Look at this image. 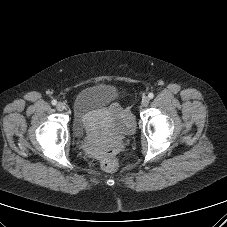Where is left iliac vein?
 Here are the masks:
<instances>
[{"label":"left iliac vein","mask_w":227,"mask_h":227,"mask_svg":"<svg viewBox=\"0 0 227 227\" xmlns=\"http://www.w3.org/2000/svg\"><path fill=\"white\" fill-rule=\"evenodd\" d=\"M149 102H150V99L148 97H143L141 104L143 107H146L148 106Z\"/></svg>","instance_id":"left-iliac-vein-1"}]
</instances>
